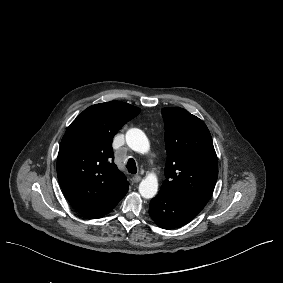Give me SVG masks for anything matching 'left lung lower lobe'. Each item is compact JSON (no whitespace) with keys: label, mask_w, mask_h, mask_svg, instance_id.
Segmentation results:
<instances>
[{"label":"left lung lower lobe","mask_w":283,"mask_h":283,"mask_svg":"<svg viewBox=\"0 0 283 283\" xmlns=\"http://www.w3.org/2000/svg\"><path fill=\"white\" fill-rule=\"evenodd\" d=\"M204 206L192 200L159 192L150 202L149 214L159 227L173 229L190 222Z\"/></svg>","instance_id":"0a47b994"}]
</instances>
